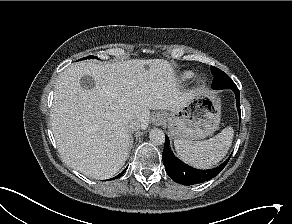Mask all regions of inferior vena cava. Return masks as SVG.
<instances>
[{"label":"inferior vena cava","mask_w":292,"mask_h":224,"mask_svg":"<svg viewBox=\"0 0 292 224\" xmlns=\"http://www.w3.org/2000/svg\"><path fill=\"white\" fill-rule=\"evenodd\" d=\"M125 127L130 133L140 129L139 123L134 119H127L125 121Z\"/></svg>","instance_id":"inferior-vena-cava-1"}]
</instances>
